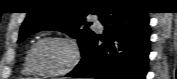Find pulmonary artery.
I'll return each mask as SVG.
<instances>
[{"mask_svg": "<svg viewBox=\"0 0 177 79\" xmlns=\"http://www.w3.org/2000/svg\"><path fill=\"white\" fill-rule=\"evenodd\" d=\"M93 26L97 29H102V24L96 16H92Z\"/></svg>", "mask_w": 177, "mask_h": 79, "instance_id": "e3ab8cb5", "label": "pulmonary artery"}]
</instances>
